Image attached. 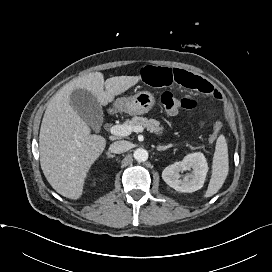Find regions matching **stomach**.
I'll use <instances>...</instances> for the list:
<instances>
[{
  "instance_id": "stomach-1",
  "label": "stomach",
  "mask_w": 272,
  "mask_h": 272,
  "mask_svg": "<svg viewBox=\"0 0 272 272\" xmlns=\"http://www.w3.org/2000/svg\"><path fill=\"white\" fill-rule=\"evenodd\" d=\"M155 97L148 91H140L131 97L118 98L114 106L130 115H141L148 113L155 105Z\"/></svg>"
}]
</instances>
